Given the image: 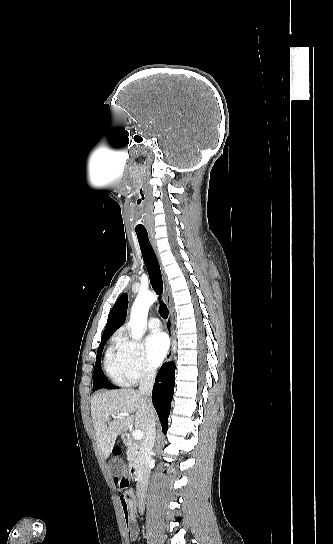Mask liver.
<instances>
[{"mask_svg": "<svg viewBox=\"0 0 333 544\" xmlns=\"http://www.w3.org/2000/svg\"><path fill=\"white\" fill-rule=\"evenodd\" d=\"M128 413L127 417H112V414ZM149 415L155 412L149 400L134 389H118L96 394L91 399V416L95 436L107 459L119 434L126 432L133 424L146 431ZM107 423L109 424L107 426Z\"/></svg>", "mask_w": 333, "mask_h": 544, "instance_id": "6515ba94", "label": "liver"}]
</instances>
